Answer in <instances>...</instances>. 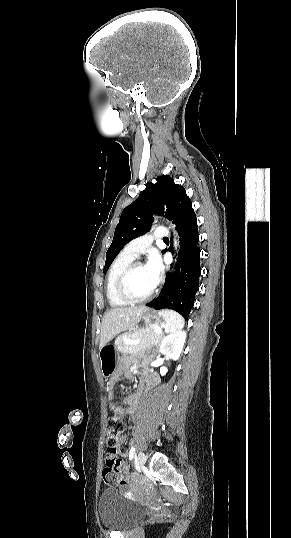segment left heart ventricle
Wrapping results in <instances>:
<instances>
[{
    "mask_svg": "<svg viewBox=\"0 0 291 538\" xmlns=\"http://www.w3.org/2000/svg\"><path fill=\"white\" fill-rule=\"evenodd\" d=\"M154 286L155 284L145 267L143 265L138 266L130 279V289L132 293L136 296H144L150 292Z\"/></svg>",
    "mask_w": 291,
    "mask_h": 538,
    "instance_id": "b2bd125f",
    "label": "left heart ventricle"
}]
</instances>
